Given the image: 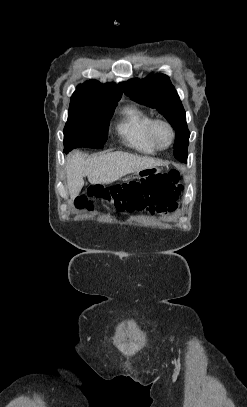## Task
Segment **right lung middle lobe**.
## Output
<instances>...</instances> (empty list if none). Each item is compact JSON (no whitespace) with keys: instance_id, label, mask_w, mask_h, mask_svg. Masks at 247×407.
<instances>
[{"instance_id":"obj_1","label":"right lung middle lobe","mask_w":247,"mask_h":407,"mask_svg":"<svg viewBox=\"0 0 247 407\" xmlns=\"http://www.w3.org/2000/svg\"><path fill=\"white\" fill-rule=\"evenodd\" d=\"M117 101L70 105L64 128V152L77 147L103 148Z\"/></svg>"}]
</instances>
